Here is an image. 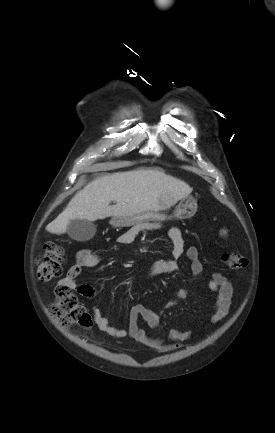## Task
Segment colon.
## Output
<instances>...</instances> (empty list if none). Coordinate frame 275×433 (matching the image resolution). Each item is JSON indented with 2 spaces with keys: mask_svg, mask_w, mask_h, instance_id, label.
<instances>
[{
  "mask_svg": "<svg viewBox=\"0 0 275 433\" xmlns=\"http://www.w3.org/2000/svg\"><path fill=\"white\" fill-rule=\"evenodd\" d=\"M223 264L230 269H241L246 266L245 257L235 250H230L222 256ZM63 247L56 241H48L44 252L37 258V276L40 279H52L61 275L63 270ZM56 300L49 306L50 316L62 327L76 325L88 329L92 318L77 297L66 287L55 290Z\"/></svg>",
  "mask_w": 275,
  "mask_h": 433,
  "instance_id": "1",
  "label": "colon"
}]
</instances>
